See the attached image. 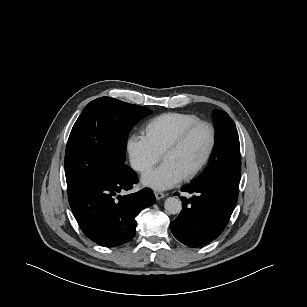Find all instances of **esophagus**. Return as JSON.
Returning a JSON list of instances; mask_svg holds the SVG:
<instances>
[{
  "label": "esophagus",
  "instance_id": "34e87169",
  "mask_svg": "<svg viewBox=\"0 0 307 307\" xmlns=\"http://www.w3.org/2000/svg\"><path fill=\"white\" fill-rule=\"evenodd\" d=\"M154 195H155V198H156L157 200H160V199H162V198L165 197V194H164V193H162V192H157V191L154 192Z\"/></svg>",
  "mask_w": 307,
  "mask_h": 307
}]
</instances>
